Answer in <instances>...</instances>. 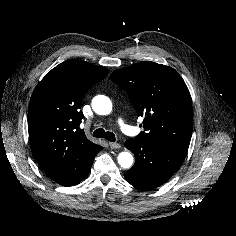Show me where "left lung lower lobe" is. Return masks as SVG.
Wrapping results in <instances>:
<instances>
[{
	"label": "left lung lower lobe",
	"mask_w": 236,
	"mask_h": 236,
	"mask_svg": "<svg viewBox=\"0 0 236 236\" xmlns=\"http://www.w3.org/2000/svg\"><path fill=\"white\" fill-rule=\"evenodd\" d=\"M125 146L135 155V164L124 177L141 190H151L165 183L183 163L186 154L149 143L129 139Z\"/></svg>",
	"instance_id": "obj_1"
}]
</instances>
